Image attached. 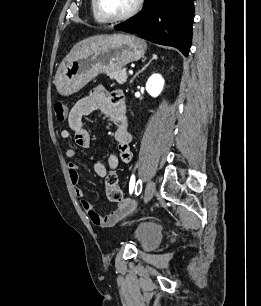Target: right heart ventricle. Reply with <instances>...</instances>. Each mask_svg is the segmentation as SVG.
Instances as JSON below:
<instances>
[{
    "instance_id": "e07e8e85",
    "label": "right heart ventricle",
    "mask_w": 261,
    "mask_h": 306,
    "mask_svg": "<svg viewBox=\"0 0 261 306\" xmlns=\"http://www.w3.org/2000/svg\"><path fill=\"white\" fill-rule=\"evenodd\" d=\"M91 9H92L93 17H94V19H95L97 22H99V23L105 22V21H103V20L98 16V14L96 13L95 8H94V0H91Z\"/></svg>"
}]
</instances>
